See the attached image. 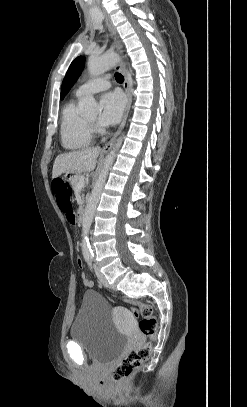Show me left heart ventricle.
Here are the masks:
<instances>
[{"instance_id":"b2bd125f","label":"left heart ventricle","mask_w":247,"mask_h":407,"mask_svg":"<svg viewBox=\"0 0 247 407\" xmlns=\"http://www.w3.org/2000/svg\"><path fill=\"white\" fill-rule=\"evenodd\" d=\"M90 121H92V122H98V118H99V115L98 114H92V115H89V116H86Z\"/></svg>"}]
</instances>
